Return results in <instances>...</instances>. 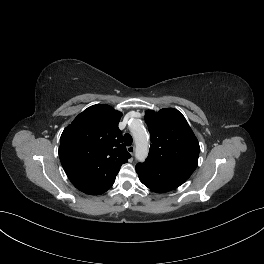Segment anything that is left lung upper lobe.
<instances>
[{
  "label": "left lung upper lobe",
  "instance_id": "obj_1",
  "mask_svg": "<svg viewBox=\"0 0 264 264\" xmlns=\"http://www.w3.org/2000/svg\"><path fill=\"white\" fill-rule=\"evenodd\" d=\"M145 122L152 143L145 162L186 181L197 167L200 147L185 117L173 108L147 110Z\"/></svg>",
  "mask_w": 264,
  "mask_h": 264
}]
</instances>
